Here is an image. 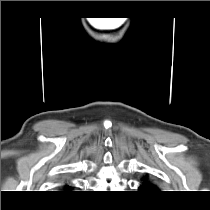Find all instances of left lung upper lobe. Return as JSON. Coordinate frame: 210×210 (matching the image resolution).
Segmentation results:
<instances>
[{
    "instance_id": "1",
    "label": "left lung upper lobe",
    "mask_w": 210,
    "mask_h": 210,
    "mask_svg": "<svg viewBox=\"0 0 210 210\" xmlns=\"http://www.w3.org/2000/svg\"><path fill=\"white\" fill-rule=\"evenodd\" d=\"M139 189L146 193H156L158 192V187L148 181L147 177L143 178V182L140 185Z\"/></svg>"
}]
</instances>
